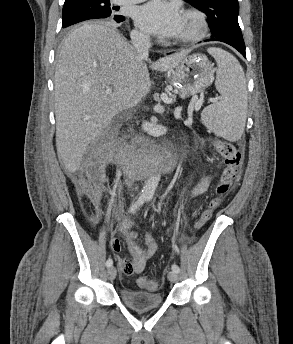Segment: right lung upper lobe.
Here are the masks:
<instances>
[{"mask_svg": "<svg viewBox=\"0 0 293 344\" xmlns=\"http://www.w3.org/2000/svg\"><path fill=\"white\" fill-rule=\"evenodd\" d=\"M76 1H79V0H65V4H66V3L76 2Z\"/></svg>", "mask_w": 293, "mask_h": 344, "instance_id": "right-lung-upper-lobe-1", "label": "right lung upper lobe"}]
</instances>
